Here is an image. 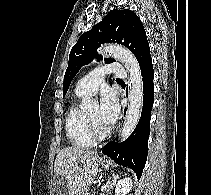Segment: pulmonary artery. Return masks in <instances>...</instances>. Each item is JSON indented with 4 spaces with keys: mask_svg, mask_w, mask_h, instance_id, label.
<instances>
[{
    "mask_svg": "<svg viewBox=\"0 0 211 195\" xmlns=\"http://www.w3.org/2000/svg\"><path fill=\"white\" fill-rule=\"evenodd\" d=\"M109 74H114L120 78L126 77V71L119 63L101 66L80 79L76 85L75 92L84 96L93 95L97 92L105 77Z\"/></svg>",
    "mask_w": 211,
    "mask_h": 195,
    "instance_id": "e3ab8cb5",
    "label": "pulmonary artery"
}]
</instances>
